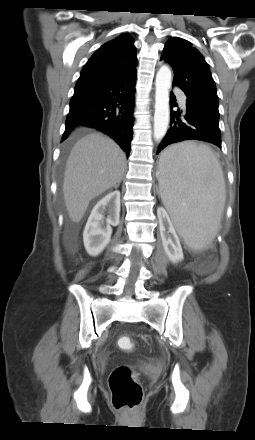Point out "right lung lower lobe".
<instances>
[{"mask_svg": "<svg viewBox=\"0 0 255 440\" xmlns=\"http://www.w3.org/2000/svg\"><path fill=\"white\" fill-rule=\"evenodd\" d=\"M135 84L136 70L107 83L76 90L70 101L62 141L76 127L87 126L109 135L129 155Z\"/></svg>", "mask_w": 255, "mask_h": 440, "instance_id": "1", "label": "right lung lower lobe"}]
</instances>
